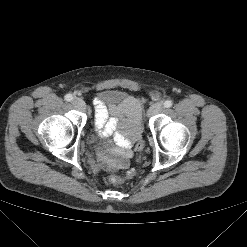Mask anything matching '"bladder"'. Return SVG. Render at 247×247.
<instances>
[{"label":"bladder","mask_w":247,"mask_h":247,"mask_svg":"<svg viewBox=\"0 0 247 247\" xmlns=\"http://www.w3.org/2000/svg\"><path fill=\"white\" fill-rule=\"evenodd\" d=\"M129 96L125 93L114 90L106 89L101 91L97 98V104L110 113L113 109L119 107ZM141 128L139 127L136 131V135H139ZM90 142L92 146L101 147L108 143V133L104 132V127H97V132L90 134Z\"/></svg>","instance_id":"obj_1"}]
</instances>
